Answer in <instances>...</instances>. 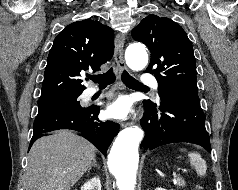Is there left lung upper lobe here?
<instances>
[{"instance_id":"obj_1","label":"left lung upper lobe","mask_w":238,"mask_h":190,"mask_svg":"<svg viewBox=\"0 0 238 190\" xmlns=\"http://www.w3.org/2000/svg\"><path fill=\"white\" fill-rule=\"evenodd\" d=\"M132 36L151 51L147 71L155 74L160 98L165 94L198 96L193 47L179 24L151 14L132 30Z\"/></svg>"}]
</instances>
